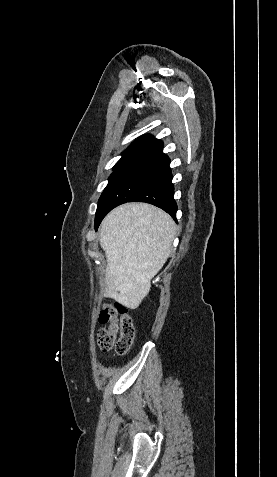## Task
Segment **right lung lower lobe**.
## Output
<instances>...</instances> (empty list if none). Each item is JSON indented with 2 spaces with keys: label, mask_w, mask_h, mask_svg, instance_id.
<instances>
[{
  "label": "right lung lower lobe",
  "mask_w": 277,
  "mask_h": 477,
  "mask_svg": "<svg viewBox=\"0 0 277 477\" xmlns=\"http://www.w3.org/2000/svg\"><path fill=\"white\" fill-rule=\"evenodd\" d=\"M174 185L169 163L158 175L129 202H146L153 204L176 219L177 204L173 198Z\"/></svg>",
  "instance_id": "right-lung-lower-lobe-1"
}]
</instances>
